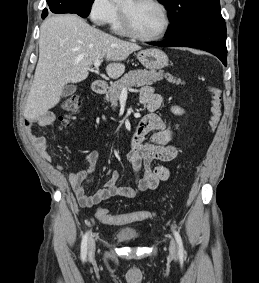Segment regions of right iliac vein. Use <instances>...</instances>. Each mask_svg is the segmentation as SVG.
I'll return each instance as SVG.
<instances>
[{"mask_svg":"<svg viewBox=\"0 0 259 283\" xmlns=\"http://www.w3.org/2000/svg\"><path fill=\"white\" fill-rule=\"evenodd\" d=\"M95 254V238L94 236H91L88 241V255L89 258H92Z\"/></svg>","mask_w":259,"mask_h":283,"instance_id":"63e3f726","label":"right iliac vein"}]
</instances>
